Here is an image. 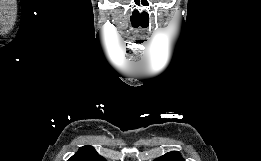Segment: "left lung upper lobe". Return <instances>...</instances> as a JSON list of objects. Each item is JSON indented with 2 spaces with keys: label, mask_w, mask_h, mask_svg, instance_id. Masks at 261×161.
Instances as JSON below:
<instances>
[{
  "label": "left lung upper lobe",
  "mask_w": 261,
  "mask_h": 161,
  "mask_svg": "<svg viewBox=\"0 0 261 161\" xmlns=\"http://www.w3.org/2000/svg\"><path fill=\"white\" fill-rule=\"evenodd\" d=\"M154 161H184L179 152L171 151L155 159Z\"/></svg>",
  "instance_id": "1"
}]
</instances>
